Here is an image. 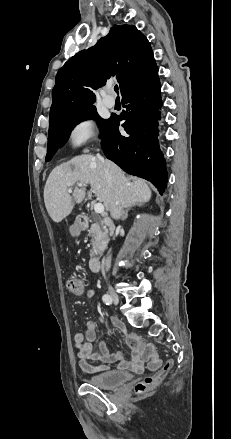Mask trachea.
Masks as SVG:
<instances>
[{
  "label": "trachea",
  "instance_id": "obj_1",
  "mask_svg": "<svg viewBox=\"0 0 231 439\" xmlns=\"http://www.w3.org/2000/svg\"><path fill=\"white\" fill-rule=\"evenodd\" d=\"M118 85H115V87H114V90H115V92H117L118 93Z\"/></svg>",
  "mask_w": 231,
  "mask_h": 439
}]
</instances>
